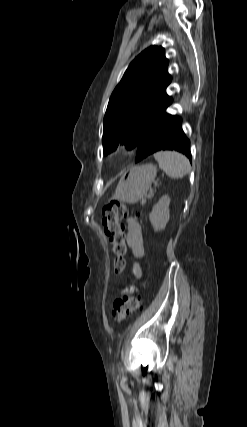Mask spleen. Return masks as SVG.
I'll return each instance as SVG.
<instances>
[{"label": "spleen", "instance_id": "obj_1", "mask_svg": "<svg viewBox=\"0 0 247 427\" xmlns=\"http://www.w3.org/2000/svg\"><path fill=\"white\" fill-rule=\"evenodd\" d=\"M159 167L172 178H183L190 172L188 159L175 151H160L154 154Z\"/></svg>", "mask_w": 247, "mask_h": 427}]
</instances>
